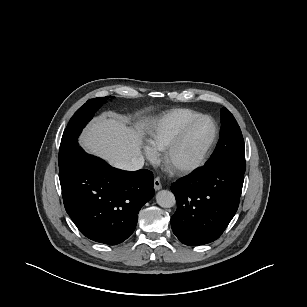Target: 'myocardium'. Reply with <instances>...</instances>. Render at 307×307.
Masks as SVG:
<instances>
[{"mask_svg":"<svg viewBox=\"0 0 307 307\" xmlns=\"http://www.w3.org/2000/svg\"><path fill=\"white\" fill-rule=\"evenodd\" d=\"M204 119L210 120L214 125V136H213L210 144L208 145L206 150L203 152V154L200 156V158L198 160H196L195 162H193L189 165H184V166L174 165L173 162H172V158H173L175 152L177 151L179 146L182 144V142L184 141V139L186 138V136L190 132V130L199 121L204 120ZM218 138H219V126H218V123L216 122V120L213 117H211L209 115H200V116L192 119L181 129V131L178 133V135L174 138V140L170 143V145L165 149L164 163H165L166 167L170 171H172L173 173L180 174V175L189 174V173H192V172L198 170L199 168H201L205 164V162L209 158L212 150L214 149V147H215V145L218 141Z\"/></svg>","mask_w":307,"mask_h":307,"instance_id":"f54148a6","label":"myocardium"}]
</instances>
